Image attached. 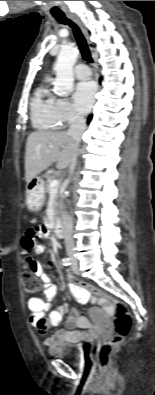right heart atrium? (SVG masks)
<instances>
[{
    "label": "right heart atrium",
    "instance_id": "1",
    "mask_svg": "<svg viewBox=\"0 0 155 395\" xmlns=\"http://www.w3.org/2000/svg\"><path fill=\"white\" fill-rule=\"evenodd\" d=\"M55 115L60 127L68 126L81 120L80 115L67 99H56Z\"/></svg>",
    "mask_w": 155,
    "mask_h": 395
}]
</instances>
